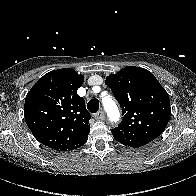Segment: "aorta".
<instances>
[{"instance_id":"1","label":"aorta","mask_w":196,"mask_h":196,"mask_svg":"<svg viewBox=\"0 0 196 196\" xmlns=\"http://www.w3.org/2000/svg\"><path fill=\"white\" fill-rule=\"evenodd\" d=\"M104 108L111 119L119 118V111L116 104L109 98V100L103 99Z\"/></svg>"}]
</instances>
